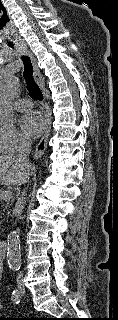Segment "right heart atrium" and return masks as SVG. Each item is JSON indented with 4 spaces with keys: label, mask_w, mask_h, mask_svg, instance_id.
Returning <instances> with one entry per match:
<instances>
[{
    "label": "right heart atrium",
    "mask_w": 118,
    "mask_h": 320,
    "mask_svg": "<svg viewBox=\"0 0 118 320\" xmlns=\"http://www.w3.org/2000/svg\"><path fill=\"white\" fill-rule=\"evenodd\" d=\"M28 143L26 137L13 128H0V152L13 153Z\"/></svg>",
    "instance_id": "right-heart-atrium-1"
}]
</instances>
